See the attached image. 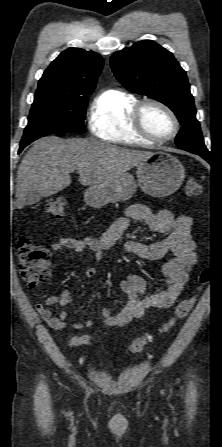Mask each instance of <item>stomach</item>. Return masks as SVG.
Returning a JSON list of instances; mask_svg holds the SVG:
<instances>
[{
    "label": "stomach",
    "instance_id": "1",
    "mask_svg": "<svg viewBox=\"0 0 222 447\" xmlns=\"http://www.w3.org/2000/svg\"><path fill=\"white\" fill-rule=\"evenodd\" d=\"M137 182L133 175L124 173L100 185L90 186L84 193L85 202L100 208L108 203L126 201L136 191L137 186L153 197H166L181 186L185 169L171 154L154 152L137 165Z\"/></svg>",
    "mask_w": 222,
    "mask_h": 447
}]
</instances>
